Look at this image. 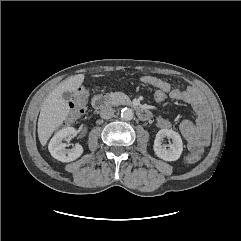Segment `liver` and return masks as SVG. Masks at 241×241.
I'll return each mask as SVG.
<instances>
[{
  "label": "liver",
  "instance_id": "obj_1",
  "mask_svg": "<svg viewBox=\"0 0 241 241\" xmlns=\"http://www.w3.org/2000/svg\"><path fill=\"white\" fill-rule=\"evenodd\" d=\"M102 75H94L98 77ZM84 74L69 77L60 83L44 100L39 119L38 137L42 146H45L52 133L66 120L69 106L62 94L66 91H76L84 81Z\"/></svg>",
  "mask_w": 241,
  "mask_h": 241
}]
</instances>
